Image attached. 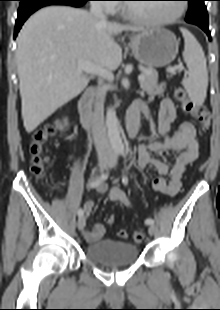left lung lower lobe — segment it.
<instances>
[{
	"mask_svg": "<svg viewBox=\"0 0 220 310\" xmlns=\"http://www.w3.org/2000/svg\"><path fill=\"white\" fill-rule=\"evenodd\" d=\"M197 26H199L203 31H205V33L208 35L209 40H211V35L208 26L205 25H197Z\"/></svg>",
	"mask_w": 220,
	"mask_h": 310,
	"instance_id": "left-lung-lower-lobe-1",
	"label": "left lung lower lobe"
}]
</instances>
